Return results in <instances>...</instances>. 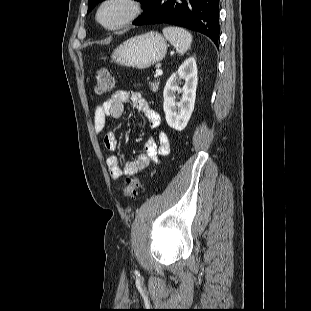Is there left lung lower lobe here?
Wrapping results in <instances>:
<instances>
[{
    "mask_svg": "<svg viewBox=\"0 0 311 311\" xmlns=\"http://www.w3.org/2000/svg\"><path fill=\"white\" fill-rule=\"evenodd\" d=\"M143 8L134 25L173 24L203 33L218 45L219 0H147Z\"/></svg>",
    "mask_w": 311,
    "mask_h": 311,
    "instance_id": "0a47b994",
    "label": "left lung lower lobe"
}]
</instances>
